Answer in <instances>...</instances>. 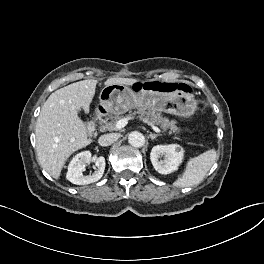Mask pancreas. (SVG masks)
<instances>
[{
	"label": "pancreas",
	"mask_w": 264,
	"mask_h": 264,
	"mask_svg": "<svg viewBox=\"0 0 264 264\" xmlns=\"http://www.w3.org/2000/svg\"><path fill=\"white\" fill-rule=\"evenodd\" d=\"M135 115H138L152 125L160 126L163 131H169V134H178L180 132V128L176 126L175 120H169L168 118L163 117L159 112L138 109L127 115L125 118H133ZM120 119H122V116L120 115H110L104 119H100L99 128L101 131H114L116 130V123Z\"/></svg>",
	"instance_id": "cf45deb5"
}]
</instances>
